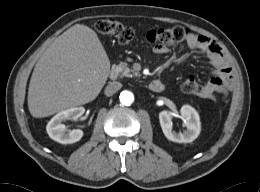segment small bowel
I'll return each instance as SVG.
<instances>
[{
	"mask_svg": "<svg viewBox=\"0 0 260 192\" xmlns=\"http://www.w3.org/2000/svg\"><path fill=\"white\" fill-rule=\"evenodd\" d=\"M187 44L190 49L205 54L214 67L212 77L206 84L201 85L196 95L202 98H214L216 94L226 96L234 85V76L221 48L216 42L201 34H191L187 39ZM153 51L156 54H165L168 48L158 45L153 47Z\"/></svg>",
	"mask_w": 260,
	"mask_h": 192,
	"instance_id": "c3829d8e",
	"label": "small bowel"
}]
</instances>
